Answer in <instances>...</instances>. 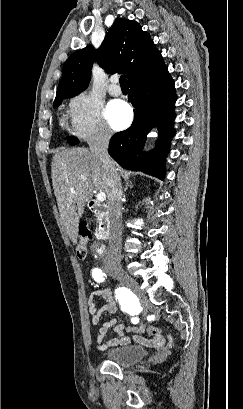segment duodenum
<instances>
[{"instance_id": "410a0bca", "label": "duodenum", "mask_w": 243, "mask_h": 409, "mask_svg": "<svg viewBox=\"0 0 243 409\" xmlns=\"http://www.w3.org/2000/svg\"><path fill=\"white\" fill-rule=\"evenodd\" d=\"M90 209L98 217L97 234L101 238H108L110 235V209L107 204L95 200L89 202Z\"/></svg>"}]
</instances>
